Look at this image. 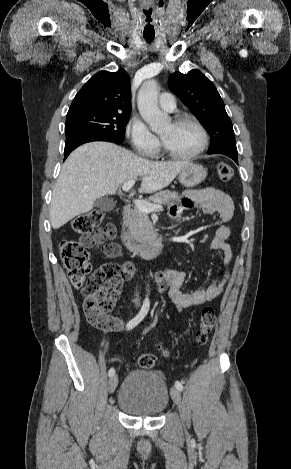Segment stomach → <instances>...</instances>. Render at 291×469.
I'll return each mask as SVG.
<instances>
[{
  "label": "stomach",
  "instance_id": "0dacf381",
  "mask_svg": "<svg viewBox=\"0 0 291 469\" xmlns=\"http://www.w3.org/2000/svg\"><path fill=\"white\" fill-rule=\"evenodd\" d=\"M206 175L207 170L202 165L190 163L181 170L178 180L183 186L192 188L200 184Z\"/></svg>",
  "mask_w": 291,
  "mask_h": 469
}]
</instances>
